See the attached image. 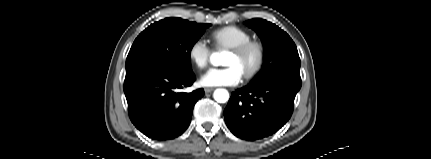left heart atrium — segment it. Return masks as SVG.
<instances>
[{"label":"left heart atrium","instance_id":"39dd6f15","mask_svg":"<svg viewBox=\"0 0 431 159\" xmlns=\"http://www.w3.org/2000/svg\"><path fill=\"white\" fill-rule=\"evenodd\" d=\"M242 72L236 66L211 68L201 77L204 86H235L242 80Z\"/></svg>","mask_w":431,"mask_h":159}]
</instances>
